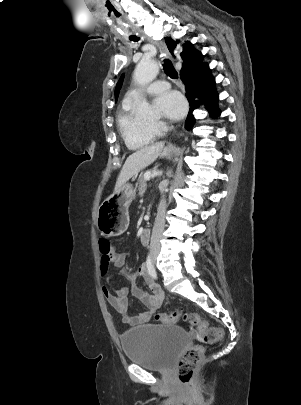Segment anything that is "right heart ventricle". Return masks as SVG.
Returning a JSON list of instances; mask_svg holds the SVG:
<instances>
[{
    "label": "right heart ventricle",
    "mask_w": 301,
    "mask_h": 405,
    "mask_svg": "<svg viewBox=\"0 0 301 405\" xmlns=\"http://www.w3.org/2000/svg\"><path fill=\"white\" fill-rule=\"evenodd\" d=\"M117 125L126 146L131 150L150 144L156 135L151 125L135 116L134 102H123L117 116Z\"/></svg>",
    "instance_id": "1"
}]
</instances>
